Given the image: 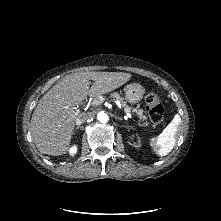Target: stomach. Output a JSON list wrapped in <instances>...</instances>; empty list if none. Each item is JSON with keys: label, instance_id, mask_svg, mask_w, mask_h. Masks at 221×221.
<instances>
[{"label": "stomach", "instance_id": "obj_1", "mask_svg": "<svg viewBox=\"0 0 221 221\" xmlns=\"http://www.w3.org/2000/svg\"><path fill=\"white\" fill-rule=\"evenodd\" d=\"M145 89L139 83H131L125 88V99L130 104H136L142 100Z\"/></svg>", "mask_w": 221, "mask_h": 221}]
</instances>
